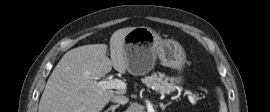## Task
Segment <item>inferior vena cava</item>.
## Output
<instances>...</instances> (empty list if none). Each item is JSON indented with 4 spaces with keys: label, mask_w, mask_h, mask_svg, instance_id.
<instances>
[{
    "label": "inferior vena cava",
    "mask_w": 270,
    "mask_h": 112,
    "mask_svg": "<svg viewBox=\"0 0 270 112\" xmlns=\"http://www.w3.org/2000/svg\"><path fill=\"white\" fill-rule=\"evenodd\" d=\"M111 101L118 104H126L128 103L129 99L124 95H114L112 96Z\"/></svg>",
    "instance_id": "602c4592"
}]
</instances>
